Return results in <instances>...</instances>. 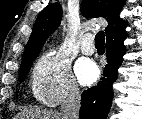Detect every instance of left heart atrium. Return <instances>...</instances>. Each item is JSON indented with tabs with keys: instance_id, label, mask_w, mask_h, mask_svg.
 <instances>
[{
	"instance_id": "39dd6f15",
	"label": "left heart atrium",
	"mask_w": 142,
	"mask_h": 119,
	"mask_svg": "<svg viewBox=\"0 0 142 119\" xmlns=\"http://www.w3.org/2000/svg\"><path fill=\"white\" fill-rule=\"evenodd\" d=\"M76 73L81 84L89 85L98 79L100 71L93 62L82 61L77 65Z\"/></svg>"
}]
</instances>
